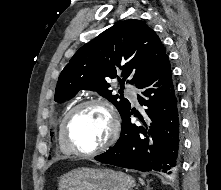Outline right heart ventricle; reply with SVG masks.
Masks as SVG:
<instances>
[{
	"label": "right heart ventricle",
	"instance_id": "right-heart-ventricle-1",
	"mask_svg": "<svg viewBox=\"0 0 221 190\" xmlns=\"http://www.w3.org/2000/svg\"><path fill=\"white\" fill-rule=\"evenodd\" d=\"M70 108H68L61 120H60V123H59V126H58V147H59V150L61 151L62 154L64 155H71V154H74L69 148L68 146L65 144V142L63 141V138H62V133H61V124H62V121H63V118L65 117L66 113L69 111Z\"/></svg>",
	"mask_w": 221,
	"mask_h": 190
}]
</instances>
